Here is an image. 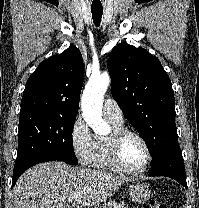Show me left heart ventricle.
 I'll return each instance as SVG.
<instances>
[{"instance_id":"b2bd125f","label":"left heart ventricle","mask_w":199,"mask_h":208,"mask_svg":"<svg viewBox=\"0 0 199 208\" xmlns=\"http://www.w3.org/2000/svg\"><path fill=\"white\" fill-rule=\"evenodd\" d=\"M120 156L126 167L136 169L145 162L146 150L136 137L127 136L121 143Z\"/></svg>"}]
</instances>
